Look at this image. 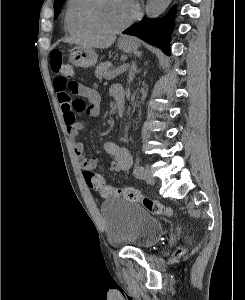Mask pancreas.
Here are the masks:
<instances>
[{
  "label": "pancreas",
  "instance_id": "pancreas-1",
  "mask_svg": "<svg viewBox=\"0 0 245 300\" xmlns=\"http://www.w3.org/2000/svg\"><path fill=\"white\" fill-rule=\"evenodd\" d=\"M112 65L109 62L101 63L96 67L95 76L101 80L103 78L110 79L111 73L114 71L111 69Z\"/></svg>",
  "mask_w": 245,
  "mask_h": 300
}]
</instances>
